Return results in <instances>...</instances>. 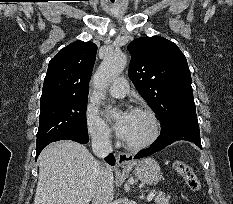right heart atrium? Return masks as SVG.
<instances>
[{
	"mask_svg": "<svg viewBox=\"0 0 233 204\" xmlns=\"http://www.w3.org/2000/svg\"><path fill=\"white\" fill-rule=\"evenodd\" d=\"M86 131L91 141L100 146L110 144L112 133L93 107H87L85 112Z\"/></svg>",
	"mask_w": 233,
	"mask_h": 204,
	"instance_id": "d8ad5b80",
	"label": "right heart atrium"
}]
</instances>
